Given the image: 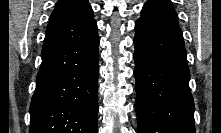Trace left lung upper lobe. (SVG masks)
Returning <instances> with one entry per match:
<instances>
[{
	"label": "left lung upper lobe",
	"mask_w": 221,
	"mask_h": 133,
	"mask_svg": "<svg viewBox=\"0 0 221 133\" xmlns=\"http://www.w3.org/2000/svg\"><path fill=\"white\" fill-rule=\"evenodd\" d=\"M139 20L178 26V15L169 0H148Z\"/></svg>",
	"instance_id": "1"
}]
</instances>
